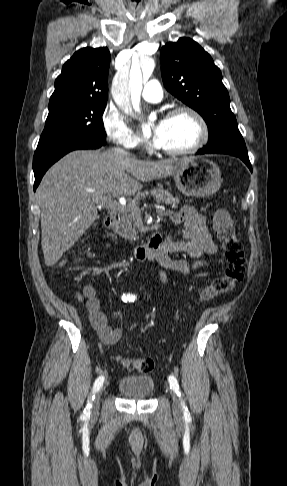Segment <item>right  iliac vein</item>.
Segmentation results:
<instances>
[{
	"mask_svg": "<svg viewBox=\"0 0 287 486\" xmlns=\"http://www.w3.org/2000/svg\"><path fill=\"white\" fill-rule=\"evenodd\" d=\"M103 389H104V387L100 388L97 391V394H96V397H95V400H94V403H93V413L94 414L98 413V411H99V407H100V397H101V394H102Z\"/></svg>",
	"mask_w": 287,
	"mask_h": 486,
	"instance_id": "63e3f726",
	"label": "right iliac vein"
}]
</instances>
